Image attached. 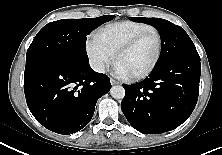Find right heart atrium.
<instances>
[{"label":"right heart atrium","instance_id":"right-heart-atrium-1","mask_svg":"<svg viewBox=\"0 0 222 155\" xmlns=\"http://www.w3.org/2000/svg\"><path fill=\"white\" fill-rule=\"evenodd\" d=\"M86 51L92 68L103 73L113 61L115 53L107 46L99 34H91L86 41Z\"/></svg>","mask_w":222,"mask_h":155}]
</instances>
